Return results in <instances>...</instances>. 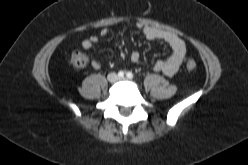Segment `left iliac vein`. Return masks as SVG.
<instances>
[{
    "label": "left iliac vein",
    "instance_id": "left-iliac-vein-1",
    "mask_svg": "<svg viewBox=\"0 0 248 165\" xmlns=\"http://www.w3.org/2000/svg\"><path fill=\"white\" fill-rule=\"evenodd\" d=\"M119 80H126V78H124V77H121V78H119Z\"/></svg>",
    "mask_w": 248,
    "mask_h": 165
}]
</instances>
